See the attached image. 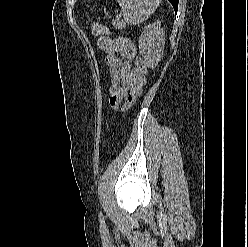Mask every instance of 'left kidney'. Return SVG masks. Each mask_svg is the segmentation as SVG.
<instances>
[{
    "instance_id": "left-kidney-1",
    "label": "left kidney",
    "mask_w": 248,
    "mask_h": 247,
    "mask_svg": "<svg viewBox=\"0 0 248 247\" xmlns=\"http://www.w3.org/2000/svg\"><path fill=\"white\" fill-rule=\"evenodd\" d=\"M165 32L161 21L147 25L139 37V52L150 68H155L163 57Z\"/></svg>"
}]
</instances>
